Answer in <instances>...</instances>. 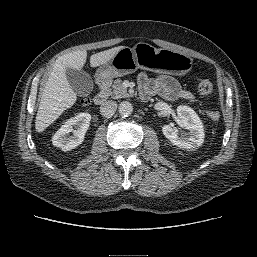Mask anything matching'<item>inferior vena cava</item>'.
Here are the masks:
<instances>
[{"instance_id": "obj_1", "label": "inferior vena cava", "mask_w": 257, "mask_h": 257, "mask_svg": "<svg viewBox=\"0 0 257 257\" xmlns=\"http://www.w3.org/2000/svg\"><path fill=\"white\" fill-rule=\"evenodd\" d=\"M117 109V103L113 100L104 102L100 107V112L104 117H111Z\"/></svg>"}]
</instances>
